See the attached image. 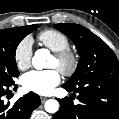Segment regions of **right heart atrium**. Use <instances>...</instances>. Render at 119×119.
Listing matches in <instances>:
<instances>
[{
    "mask_svg": "<svg viewBox=\"0 0 119 119\" xmlns=\"http://www.w3.org/2000/svg\"><path fill=\"white\" fill-rule=\"evenodd\" d=\"M14 59L20 70H26L31 65L32 41L29 37L19 42L14 51Z\"/></svg>",
    "mask_w": 119,
    "mask_h": 119,
    "instance_id": "obj_1",
    "label": "right heart atrium"
}]
</instances>
